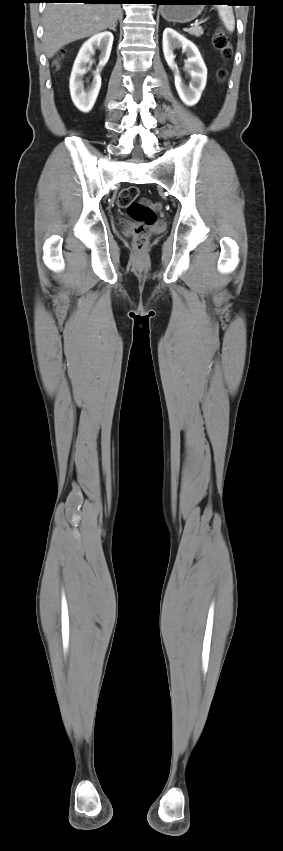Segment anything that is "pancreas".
Returning a JSON list of instances; mask_svg holds the SVG:
<instances>
[{
  "mask_svg": "<svg viewBox=\"0 0 283 851\" xmlns=\"http://www.w3.org/2000/svg\"><path fill=\"white\" fill-rule=\"evenodd\" d=\"M186 32H188L190 35H194L196 37H199L203 34V29L201 27H193V28L187 29Z\"/></svg>",
  "mask_w": 283,
  "mask_h": 851,
  "instance_id": "1",
  "label": "pancreas"
}]
</instances>
